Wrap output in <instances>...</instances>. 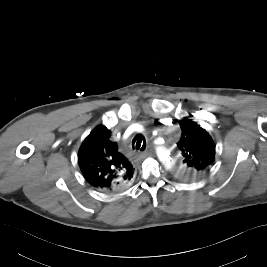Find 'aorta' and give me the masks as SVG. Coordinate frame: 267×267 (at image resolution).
Segmentation results:
<instances>
[{
  "label": "aorta",
  "mask_w": 267,
  "mask_h": 267,
  "mask_svg": "<svg viewBox=\"0 0 267 267\" xmlns=\"http://www.w3.org/2000/svg\"><path fill=\"white\" fill-rule=\"evenodd\" d=\"M168 157H169V156L166 155V158H165V159H166V162H167V164H168L170 167H172L173 164H174V163H173V159L170 158V157L168 158Z\"/></svg>",
  "instance_id": "obj_1"
}]
</instances>
